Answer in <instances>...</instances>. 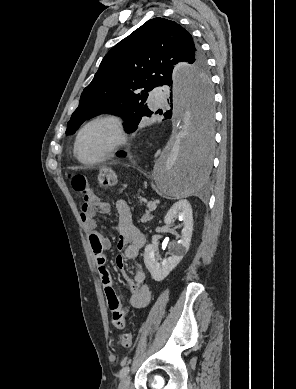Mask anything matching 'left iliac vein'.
<instances>
[{
	"mask_svg": "<svg viewBox=\"0 0 296 389\" xmlns=\"http://www.w3.org/2000/svg\"><path fill=\"white\" fill-rule=\"evenodd\" d=\"M129 386H130V376H125L119 384V389H129Z\"/></svg>",
	"mask_w": 296,
	"mask_h": 389,
	"instance_id": "1",
	"label": "left iliac vein"
}]
</instances>
